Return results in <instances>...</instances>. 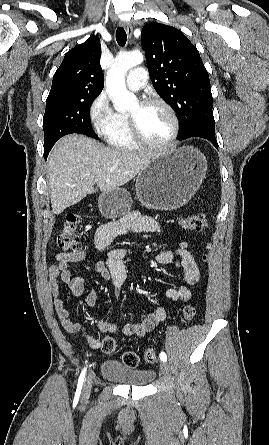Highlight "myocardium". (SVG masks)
Listing matches in <instances>:
<instances>
[{"mask_svg":"<svg viewBox=\"0 0 269 445\" xmlns=\"http://www.w3.org/2000/svg\"><path fill=\"white\" fill-rule=\"evenodd\" d=\"M138 104H139L140 108H145L149 105H159V106L163 107L168 112V114L172 120V132H171L170 136L164 142L157 143V144L151 143L143 136V134L141 132L138 115L136 113H129L128 121H129L130 130H131L134 140L136 141V143L139 146L149 149V150H155V151L166 150L175 142V140L178 137L179 131H180V122H179V119H178V116H177L175 110L165 100H163L162 98H159V97H155V96L143 98L139 101Z\"/></svg>","mask_w":269,"mask_h":445,"instance_id":"f54148a6","label":"myocardium"}]
</instances>
